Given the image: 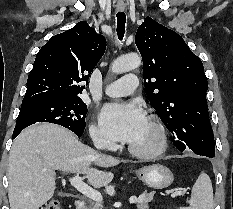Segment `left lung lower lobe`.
I'll return each instance as SVG.
<instances>
[{
	"instance_id": "obj_1",
	"label": "left lung lower lobe",
	"mask_w": 233,
	"mask_h": 209,
	"mask_svg": "<svg viewBox=\"0 0 233 209\" xmlns=\"http://www.w3.org/2000/svg\"><path fill=\"white\" fill-rule=\"evenodd\" d=\"M175 142H177V141H175ZM176 146V145H175ZM177 148H178V146H176ZM180 151H184L185 149H181V148H178Z\"/></svg>"
}]
</instances>
